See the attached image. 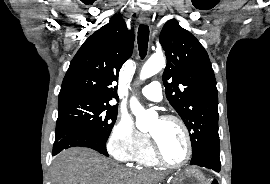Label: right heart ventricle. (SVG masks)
I'll list each match as a JSON object with an SVG mask.
<instances>
[{"instance_id":"e07e8e85","label":"right heart ventricle","mask_w":270,"mask_h":184,"mask_svg":"<svg viewBox=\"0 0 270 184\" xmlns=\"http://www.w3.org/2000/svg\"><path fill=\"white\" fill-rule=\"evenodd\" d=\"M133 161H135L139 165L147 167L155 166L158 164L153 155L149 141L147 145L138 153V155L134 158Z\"/></svg>"}]
</instances>
